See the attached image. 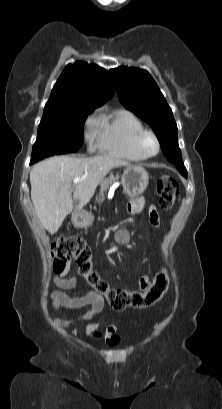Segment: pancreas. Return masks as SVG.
<instances>
[{
  "instance_id": "1",
  "label": "pancreas",
  "mask_w": 222,
  "mask_h": 409,
  "mask_svg": "<svg viewBox=\"0 0 222 409\" xmlns=\"http://www.w3.org/2000/svg\"><path fill=\"white\" fill-rule=\"evenodd\" d=\"M116 182V178L115 177H110L109 179L103 180L100 183V191H99V196L97 198V200L99 202H102L105 198L104 192H106L109 187Z\"/></svg>"
}]
</instances>
